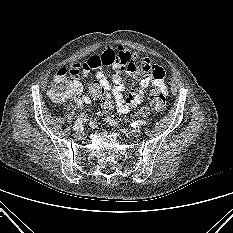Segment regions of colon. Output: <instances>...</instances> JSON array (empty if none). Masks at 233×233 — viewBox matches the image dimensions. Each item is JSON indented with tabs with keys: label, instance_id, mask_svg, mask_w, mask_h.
<instances>
[{
	"label": "colon",
	"instance_id": "colon-1",
	"mask_svg": "<svg viewBox=\"0 0 233 233\" xmlns=\"http://www.w3.org/2000/svg\"><path fill=\"white\" fill-rule=\"evenodd\" d=\"M70 80L66 76V72H59L53 79L50 85L48 94L53 101H64L70 95ZM90 96L100 101V113L110 111L113 106V100L108 90L99 82L94 81L89 86ZM150 106L154 111H162L166 106L165 94L158 88H154L151 91L149 98Z\"/></svg>",
	"mask_w": 233,
	"mask_h": 233
}]
</instances>
